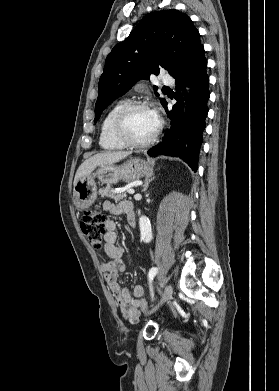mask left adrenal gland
I'll return each instance as SVG.
<instances>
[{
	"label": "left adrenal gland",
	"instance_id": "a2214340",
	"mask_svg": "<svg viewBox=\"0 0 279 391\" xmlns=\"http://www.w3.org/2000/svg\"><path fill=\"white\" fill-rule=\"evenodd\" d=\"M154 176L152 177V174L150 175V176H148V177H146V179L144 180V185H143V189H142V191L144 192V191H146L147 189H148V186H149V183L152 181V180H154Z\"/></svg>",
	"mask_w": 279,
	"mask_h": 391
}]
</instances>
